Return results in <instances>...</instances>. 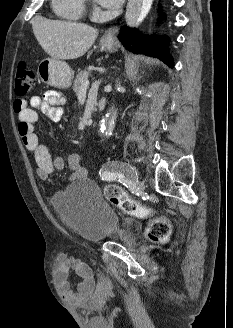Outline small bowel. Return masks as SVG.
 Instances as JSON below:
<instances>
[{
  "mask_svg": "<svg viewBox=\"0 0 233 328\" xmlns=\"http://www.w3.org/2000/svg\"><path fill=\"white\" fill-rule=\"evenodd\" d=\"M65 98L60 92L50 90L42 96H32L29 100L16 99L13 109L18 120V134L25 148L33 154L36 161V176L39 180L50 182L56 170L63 168L61 158H52L46 146L40 143L35 133V123L38 120L37 110L47 114L49 118L58 122L63 117L61 105ZM83 157L80 154H72L68 159L69 167L73 170L71 180L83 179L87 176V169L83 166ZM73 270L80 278L77 291L71 289L69 273ZM54 276L57 292L68 302L81 303L89 299L94 293L96 284L92 269L85 262L61 254L54 264Z\"/></svg>",
  "mask_w": 233,
  "mask_h": 328,
  "instance_id": "small-bowel-1",
  "label": "small bowel"
}]
</instances>
